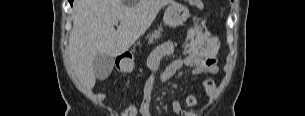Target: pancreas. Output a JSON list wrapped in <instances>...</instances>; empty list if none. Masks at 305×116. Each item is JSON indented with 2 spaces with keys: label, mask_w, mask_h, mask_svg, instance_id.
Wrapping results in <instances>:
<instances>
[{
  "label": "pancreas",
  "mask_w": 305,
  "mask_h": 116,
  "mask_svg": "<svg viewBox=\"0 0 305 116\" xmlns=\"http://www.w3.org/2000/svg\"><path fill=\"white\" fill-rule=\"evenodd\" d=\"M163 28L159 27L154 32L147 35L146 39H148V43L152 44L154 41L160 39L162 37Z\"/></svg>",
  "instance_id": "cf45deb5"
}]
</instances>
